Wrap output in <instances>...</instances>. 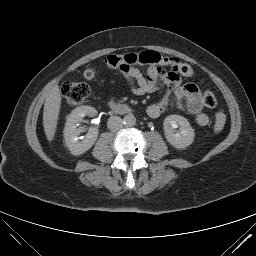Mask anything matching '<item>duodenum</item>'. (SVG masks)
I'll return each mask as SVG.
<instances>
[{"label":"duodenum","mask_w":256,"mask_h":256,"mask_svg":"<svg viewBox=\"0 0 256 256\" xmlns=\"http://www.w3.org/2000/svg\"><path fill=\"white\" fill-rule=\"evenodd\" d=\"M110 108L112 111L116 113H121V114L128 113L130 111L128 106L124 104L116 103V102H111Z\"/></svg>","instance_id":"duodenum-1"}]
</instances>
